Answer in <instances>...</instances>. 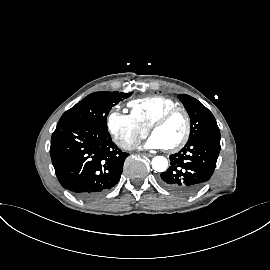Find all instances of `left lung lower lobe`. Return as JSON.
Returning a JSON list of instances; mask_svg holds the SVG:
<instances>
[{
  "label": "left lung lower lobe",
  "mask_w": 270,
  "mask_h": 270,
  "mask_svg": "<svg viewBox=\"0 0 270 270\" xmlns=\"http://www.w3.org/2000/svg\"><path fill=\"white\" fill-rule=\"evenodd\" d=\"M220 152V137L202 136L188 141L178 152L170 155L171 166L161 173L160 184L167 190L189 195L211 178Z\"/></svg>",
  "instance_id": "0a47b994"
}]
</instances>
